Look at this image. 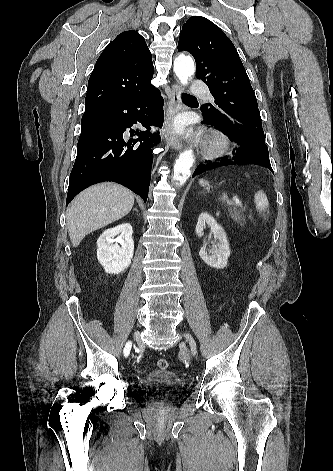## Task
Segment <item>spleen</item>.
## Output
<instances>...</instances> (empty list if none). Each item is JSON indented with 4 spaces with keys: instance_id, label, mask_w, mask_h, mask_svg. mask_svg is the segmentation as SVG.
Wrapping results in <instances>:
<instances>
[{
    "instance_id": "obj_1",
    "label": "spleen",
    "mask_w": 333,
    "mask_h": 471,
    "mask_svg": "<svg viewBox=\"0 0 333 471\" xmlns=\"http://www.w3.org/2000/svg\"><path fill=\"white\" fill-rule=\"evenodd\" d=\"M223 200H227L226 194H223ZM254 200H255L256 208L258 211L261 212L267 209L269 203H268L267 196L265 195L263 191L260 190L257 193H255Z\"/></svg>"
}]
</instances>
